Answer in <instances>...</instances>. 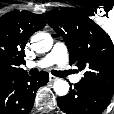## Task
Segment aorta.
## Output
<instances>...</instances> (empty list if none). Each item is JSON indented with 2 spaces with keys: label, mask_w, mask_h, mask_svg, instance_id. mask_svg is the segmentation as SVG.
Segmentation results:
<instances>
[{
  "label": "aorta",
  "mask_w": 114,
  "mask_h": 114,
  "mask_svg": "<svg viewBox=\"0 0 114 114\" xmlns=\"http://www.w3.org/2000/svg\"><path fill=\"white\" fill-rule=\"evenodd\" d=\"M32 48L38 53L48 52L53 45V39L48 33L40 32L32 37ZM54 91L59 96H64L69 91L67 81L58 79L53 85Z\"/></svg>",
  "instance_id": "762f6f07"
}]
</instances>
